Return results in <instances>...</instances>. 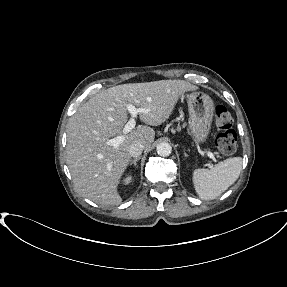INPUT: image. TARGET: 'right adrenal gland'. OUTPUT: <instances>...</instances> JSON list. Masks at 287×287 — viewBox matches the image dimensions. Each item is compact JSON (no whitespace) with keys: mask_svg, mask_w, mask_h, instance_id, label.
Returning a JSON list of instances; mask_svg holds the SVG:
<instances>
[{"mask_svg":"<svg viewBox=\"0 0 287 287\" xmlns=\"http://www.w3.org/2000/svg\"><path fill=\"white\" fill-rule=\"evenodd\" d=\"M140 160V157H137V158H135L134 160H131L130 161V163H129V165H134L135 167H136V163H137V161H139Z\"/></svg>","mask_w":287,"mask_h":287,"instance_id":"1","label":"right adrenal gland"}]
</instances>
